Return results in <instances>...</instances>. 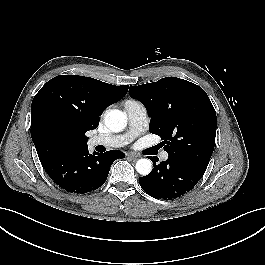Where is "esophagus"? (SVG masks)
I'll return each instance as SVG.
<instances>
[{
  "label": "esophagus",
  "instance_id": "esophagus-1",
  "mask_svg": "<svg viewBox=\"0 0 265 265\" xmlns=\"http://www.w3.org/2000/svg\"><path fill=\"white\" fill-rule=\"evenodd\" d=\"M127 156H128L129 158L133 159V160H136V159L139 158V156L136 155V154H134V153H129Z\"/></svg>",
  "mask_w": 265,
  "mask_h": 265
}]
</instances>
